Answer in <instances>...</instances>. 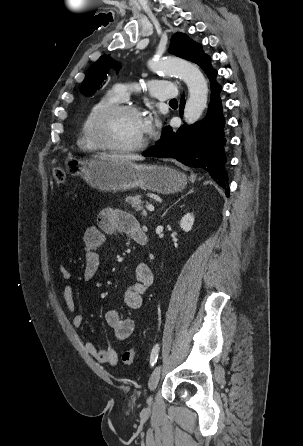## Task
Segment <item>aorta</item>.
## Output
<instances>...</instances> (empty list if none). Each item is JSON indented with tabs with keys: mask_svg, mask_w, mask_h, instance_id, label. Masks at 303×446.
Wrapping results in <instances>:
<instances>
[{
	"mask_svg": "<svg viewBox=\"0 0 303 446\" xmlns=\"http://www.w3.org/2000/svg\"><path fill=\"white\" fill-rule=\"evenodd\" d=\"M149 67L153 72L176 75L188 86L189 98L184 108V120L187 124L195 123L207 105L208 87L199 68L180 59L151 60Z\"/></svg>",
	"mask_w": 303,
	"mask_h": 446,
	"instance_id": "aorta-1",
	"label": "aorta"
}]
</instances>
